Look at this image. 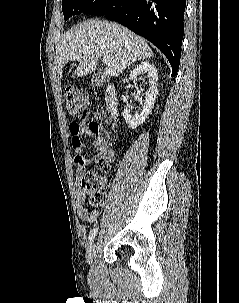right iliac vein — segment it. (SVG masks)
Masks as SVG:
<instances>
[{"mask_svg":"<svg viewBox=\"0 0 239 303\" xmlns=\"http://www.w3.org/2000/svg\"><path fill=\"white\" fill-rule=\"evenodd\" d=\"M96 251H97V244H96V242H92L89 245V248H88L87 253H86V262L89 265L93 263V260H94L95 255H96Z\"/></svg>","mask_w":239,"mask_h":303,"instance_id":"1","label":"right iliac vein"}]
</instances>
